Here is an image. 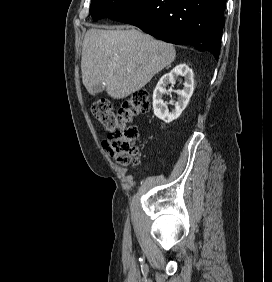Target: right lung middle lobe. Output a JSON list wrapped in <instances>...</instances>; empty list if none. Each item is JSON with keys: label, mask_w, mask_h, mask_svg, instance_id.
Returning a JSON list of instances; mask_svg holds the SVG:
<instances>
[{"label": "right lung middle lobe", "mask_w": 272, "mask_h": 282, "mask_svg": "<svg viewBox=\"0 0 272 282\" xmlns=\"http://www.w3.org/2000/svg\"><path fill=\"white\" fill-rule=\"evenodd\" d=\"M137 0H92L90 14L94 21L110 17Z\"/></svg>", "instance_id": "1"}]
</instances>
